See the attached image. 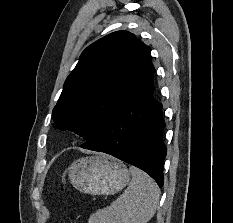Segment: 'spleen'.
<instances>
[{"label": "spleen", "instance_id": "spleen-1", "mask_svg": "<svg viewBox=\"0 0 233 223\" xmlns=\"http://www.w3.org/2000/svg\"><path fill=\"white\" fill-rule=\"evenodd\" d=\"M132 181L108 207L97 209L88 223H147L153 217L160 189L145 171L131 167Z\"/></svg>", "mask_w": 233, "mask_h": 223}]
</instances>
